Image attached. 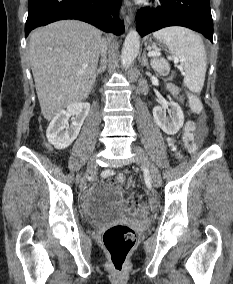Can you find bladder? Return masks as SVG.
I'll list each match as a JSON object with an SVG mask.
<instances>
[{"instance_id":"1","label":"bladder","mask_w":233,"mask_h":284,"mask_svg":"<svg viewBox=\"0 0 233 284\" xmlns=\"http://www.w3.org/2000/svg\"><path fill=\"white\" fill-rule=\"evenodd\" d=\"M122 195V191L115 185L101 183L93 187L86 195L89 203L98 206H109L115 203Z\"/></svg>"}]
</instances>
